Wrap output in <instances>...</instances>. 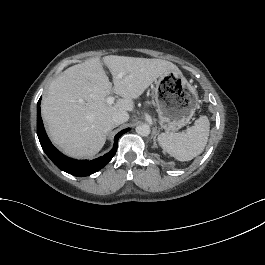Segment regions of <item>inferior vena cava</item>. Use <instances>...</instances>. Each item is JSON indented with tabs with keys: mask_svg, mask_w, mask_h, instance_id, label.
I'll return each instance as SVG.
<instances>
[{
	"mask_svg": "<svg viewBox=\"0 0 265 265\" xmlns=\"http://www.w3.org/2000/svg\"><path fill=\"white\" fill-rule=\"evenodd\" d=\"M112 120L115 125L122 124L129 120V114L127 111H116L112 114Z\"/></svg>",
	"mask_w": 265,
	"mask_h": 265,
	"instance_id": "obj_1",
	"label": "inferior vena cava"
}]
</instances>
